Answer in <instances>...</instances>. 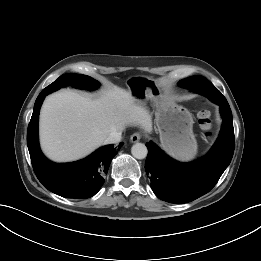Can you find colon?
<instances>
[{
    "mask_svg": "<svg viewBox=\"0 0 261 261\" xmlns=\"http://www.w3.org/2000/svg\"><path fill=\"white\" fill-rule=\"evenodd\" d=\"M198 123L201 129L206 135H209V131L212 126L211 113L208 109H201L198 113Z\"/></svg>",
    "mask_w": 261,
    "mask_h": 261,
    "instance_id": "5ec220e1",
    "label": "colon"
}]
</instances>
